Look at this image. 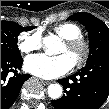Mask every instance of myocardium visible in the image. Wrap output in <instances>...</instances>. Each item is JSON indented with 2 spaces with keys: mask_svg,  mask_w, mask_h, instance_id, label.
Returning a JSON list of instances; mask_svg holds the SVG:
<instances>
[{
  "mask_svg": "<svg viewBox=\"0 0 109 109\" xmlns=\"http://www.w3.org/2000/svg\"><path fill=\"white\" fill-rule=\"evenodd\" d=\"M64 44L68 49H75L80 47L82 49V54L80 58L74 63V67L82 68L86 65L91 54V46L88 40H86L82 35L71 39H66Z\"/></svg>",
  "mask_w": 109,
  "mask_h": 109,
  "instance_id": "myocardium-1",
  "label": "myocardium"
}]
</instances>
